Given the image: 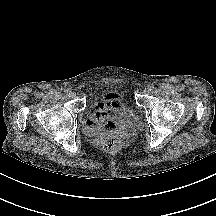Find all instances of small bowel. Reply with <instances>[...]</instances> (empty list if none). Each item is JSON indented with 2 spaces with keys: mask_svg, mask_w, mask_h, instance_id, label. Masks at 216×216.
I'll list each match as a JSON object with an SVG mask.
<instances>
[{
  "mask_svg": "<svg viewBox=\"0 0 216 216\" xmlns=\"http://www.w3.org/2000/svg\"><path fill=\"white\" fill-rule=\"evenodd\" d=\"M127 112L122 98L116 93L106 94L100 102L92 105L86 125L89 131L101 133L104 129H113L116 118Z\"/></svg>",
  "mask_w": 216,
  "mask_h": 216,
  "instance_id": "obj_1",
  "label": "small bowel"
}]
</instances>
